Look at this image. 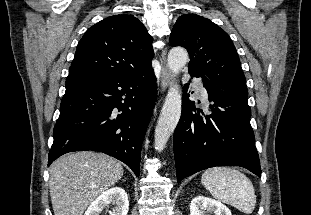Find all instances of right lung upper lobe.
<instances>
[{"instance_id":"cb5924a9","label":"right lung upper lobe","mask_w":311,"mask_h":215,"mask_svg":"<svg viewBox=\"0 0 311 215\" xmlns=\"http://www.w3.org/2000/svg\"><path fill=\"white\" fill-rule=\"evenodd\" d=\"M152 37L133 15H114L91 26L79 41L66 81L131 78L152 71Z\"/></svg>"}]
</instances>
